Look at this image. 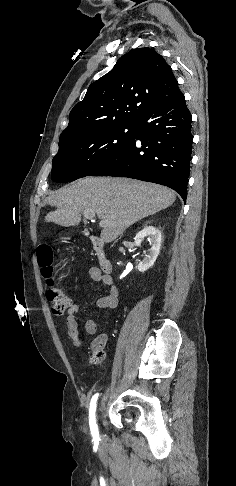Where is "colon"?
<instances>
[{"label":"colon","instance_id":"colon-1","mask_svg":"<svg viewBox=\"0 0 236 486\" xmlns=\"http://www.w3.org/2000/svg\"><path fill=\"white\" fill-rule=\"evenodd\" d=\"M37 258L42 270V274L46 278V282L49 286L47 298L51 304L52 311L56 314H62L70 306L71 297L63 288L54 285V254L52 249L47 245L39 247L37 251ZM104 357L105 354L101 349H94L91 354V362L94 364H100Z\"/></svg>","mask_w":236,"mask_h":486}]
</instances>
